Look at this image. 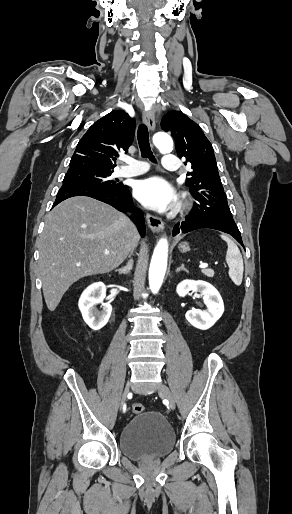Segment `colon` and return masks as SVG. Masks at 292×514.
I'll list each match as a JSON object with an SVG mask.
<instances>
[{
	"instance_id": "1",
	"label": "colon",
	"mask_w": 292,
	"mask_h": 514,
	"mask_svg": "<svg viewBox=\"0 0 292 514\" xmlns=\"http://www.w3.org/2000/svg\"><path fill=\"white\" fill-rule=\"evenodd\" d=\"M131 411L134 413V414H137V415H141V414H144L145 411H146V408L144 405L140 404V403H132L131 404Z\"/></svg>"
}]
</instances>
